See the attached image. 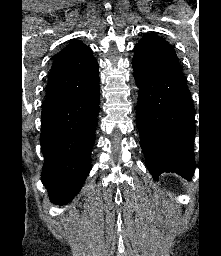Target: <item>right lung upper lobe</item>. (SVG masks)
I'll return each instance as SVG.
<instances>
[{
	"mask_svg": "<svg viewBox=\"0 0 221 256\" xmlns=\"http://www.w3.org/2000/svg\"><path fill=\"white\" fill-rule=\"evenodd\" d=\"M99 65L92 50L76 40L54 60L43 108H50L89 94L99 87Z\"/></svg>",
	"mask_w": 221,
	"mask_h": 256,
	"instance_id": "right-lung-upper-lobe-1",
	"label": "right lung upper lobe"
}]
</instances>
